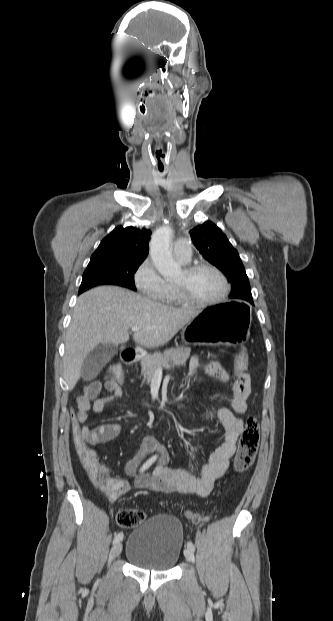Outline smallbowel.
Masks as SVG:
<instances>
[{"instance_id": "1", "label": "small bowel", "mask_w": 333, "mask_h": 621, "mask_svg": "<svg viewBox=\"0 0 333 621\" xmlns=\"http://www.w3.org/2000/svg\"><path fill=\"white\" fill-rule=\"evenodd\" d=\"M203 369L211 377L225 381L226 371L217 362L204 363L195 356L190 364V374ZM109 394L98 397L102 389ZM123 395V389L113 378L108 379L104 385L99 381H93L84 386L83 392L77 396V421L82 424L81 432L88 443L92 445L104 443L117 438L121 434V426L117 423H106L96 428H89V411L93 401V410L96 414H102L106 405ZM250 395V379L246 373L232 383V396L230 407H221L217 410V417L223 426L222 443L201 462L200 471L195 475L184 469H174L168 466L169 456L163 450L158 441L151 436L144 439L142 450L132 457L126 464L127 474L134 477V485L137 488H146L155 492L195 494L201 497L208 496L213 490L214 483L221 478L229 468L230 460L237 450V439L243 429V421L239 415L244 414L248 408ZM159 453V466L150 476L136 475L137 469L147 456ZM143 466V465H142ZM111 477V472L105 469ZM114 491L108 497L116 500L126 493L130 485L126 480L111 477Z\"/></svg>"}]
</instances>
